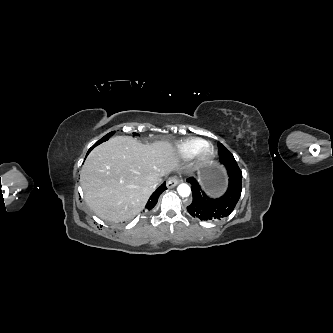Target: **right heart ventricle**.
Instances as JSON below:
<instances>
[{"label":"right heart ventricle","instance_id":"1","mask_svg":"<svg viewBox=\"0 0 333 333\" xmlns=\"http://www.w3.org/2000/svg\"><path fill=\"white\" fill-rule=\"evenodd\" d=\"M207 145V142L198 138H191L176 145V152L183 159H192Z\"/></svg>","mask_w":333,"mask_h":333}]
</instances>
